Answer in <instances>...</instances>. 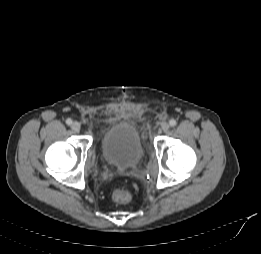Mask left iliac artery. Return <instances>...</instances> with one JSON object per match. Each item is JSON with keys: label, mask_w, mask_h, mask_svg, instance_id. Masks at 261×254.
<instances>
[{"label": "left iliac artery", "mask_w": 261, "mask_h": 254, "mask_svg": "<svg viewBox=\"0 0 261 254\" xmlns=\"http://www.w3.org/2000/svg\"><path fill=\"white\" fill-rule=\"evenodd\" d=\"M169 124H170V126L174 127V126H176L177 122H176V120L171 119V120L169 121Z\"/></svg>", "instance_id": "1"}]
</instances>
